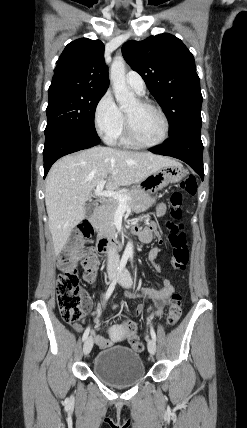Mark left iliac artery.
<instances>
[{
    "label": "left iliac artery",
    "mask_w": 247,
    "mask_h": 428,
    "mask_svg": "<svg viewBox=\"0 0 247 428\" xmlns=\"http://www.w3.org/2000/svg\"><path fill=\"white\" fill-rule=\"evenodd\" d=\"M131 261H132V259H131ZM150 321H151V319H149V322H150ZM150 334H151L152 339H153L154 341H156V334H155V331H154V329H153L152 325L150 326Z\"/></svg>",
    "instance_id": "1"
}]
</instances>
